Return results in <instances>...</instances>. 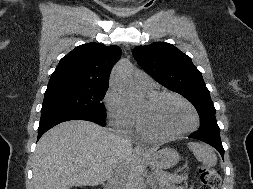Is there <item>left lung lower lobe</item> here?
Listing matches in <instances>:
<instances>
[{"label": "left lung lower lobe", "mask_w": 253, "mask_h": 189, "mask_svg": "<svg viewBox=\"0 0 253 189\" xmlns=\"http://www.w3.org/2000/svg\"><path fill=\"white\" fill-rule=\"evenodd\" d=\"M189 138L198 139L212 145L224 159V148L220 139V129H199L189 135Z\"/></svg>", "instance_id": "left-lung-lower-lobe-1"}]
</instances>
